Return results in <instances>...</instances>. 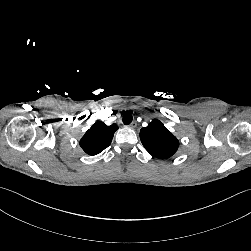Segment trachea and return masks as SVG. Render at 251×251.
Returning <instances> with one entry per match:
<instances>
[{
    "label": "trachea",
    "instance_id": "obj_1",
    "mask_svg": "<svg viewBox=\"0 0 251 251\" xmlns=\"http://www.w3.org/2000/svg\"><path fill=\"white\" fill-rule=\"evenodd\" d=\"M133 120V117L132 115L129 113V112H126L124 115H123V123L125 125H128L132 122Z\"/></svg>",
    "mask_w": 251,
    "mask_h": 251
}]
</instances>
